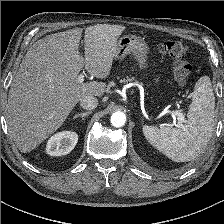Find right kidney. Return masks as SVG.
<instances>
[{"label":"right kidney","mask_w":224,"mask_h":224,"mask_svg":"<svg viewBox=\"0 0 224 224\" xmlns=\"http://www.w3.org/2000/svg\"><path fill=\"white\" fill-rule=\"evenodd\" d=\"M78 135L75 132L63 131L56 133L47 142L46 152L51 156H63L75 147Z\"/></svg>","instance_id":"1"}]
</instances>
